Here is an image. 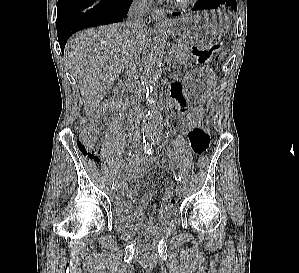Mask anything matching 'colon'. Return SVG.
<instances>
[{
  "mask_svg": "<svg viewBox=\"0 0 299 273\" xmlns=\"http://www.w3.org/2000/svg\"><path fill=\"white\" fill-rule=\"evenodd\" d=\"M225 45L218 41L209 45H193L192 54L195 59L201 64L214 65L219 63L225 55ZM203 105H196L191 108L190 112L183 121V127L186 132L190 129L202 126L204 117ZM98 128L94 121H85L77 128V145L79 151L92 160H98L100 149L97 146ZM198 169H203L207 164V157L200 156L197 160ZM179 194L176 191V196L170 200V204L177 205Z\"/></svg>",
  "mask_w": 299,
  "mask_h": 273,
  "instance_id": "5ec220e1",
  "label": "colon"
}]
</instances>
